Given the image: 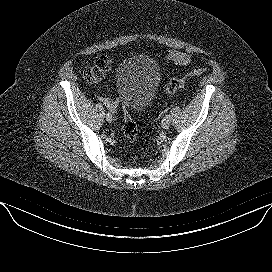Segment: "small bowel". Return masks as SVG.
Instances as JSON below:
<instances>
[{
    "label": "small bowel",
    "instance_id": "small-bowel-1",
    "mask_svg": "<svg viewBox=\"0 0 272 272\" xmlns=\"http://www.w3.org/2000/svg\"><path fill=\"white\" fill-rule=\"evenodd\" d=\"M166 57L168 60L180 66H186L193 62V57L189 53L170 51L167 53Z\"/></svg>",
    "mask_w": 272,
    "mask_h": 272
}]
</instances>
